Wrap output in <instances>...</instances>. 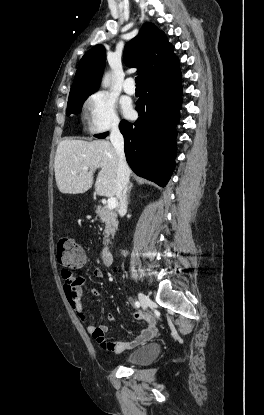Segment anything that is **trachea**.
<instances>
[{"label": "trachea", "instance_id": "obj_1", "mask_svg": "<svg viewBox=\"0 0 264 415\" xmlns=\"http://www.w3.org/2000/svg\"><path fill=\"white\" fill-rule=\"evenodd\" d=\"M135 83H136V87H141V80H140V77L139 76H137L135 78Z\"/></svg>", "mask_w": 264, "mask_h": 415}]
</instances>
